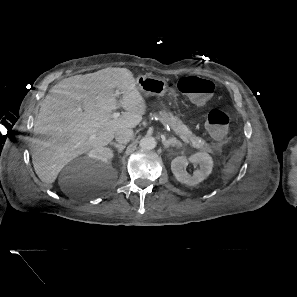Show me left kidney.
<instances>
[{
    "instance_id": "obj_1",
    "label": "left kidney",
    "mask_w": 297,
    "mask_h": 297,
    "mask_svg": "<svg viewBox=\"0 0 297 297\" xmlns=\"http://www.w3.org/2000/svg\"><path fill=\"white\" fill-rule=\"evenodd\" d=\"M191 163L199 165L193 176L185 171V167ZM213 160L206 152H198L190 157L179 156L171 162V170L177 181L188 186H195L206 179L212 172Z\"/></svg>"
}]
</instances>
